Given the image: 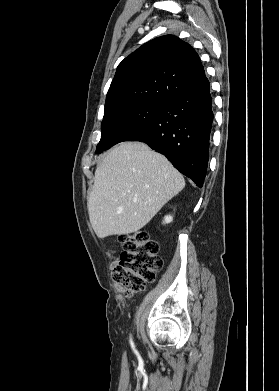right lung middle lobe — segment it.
<instances>
[{
    "label": "right lung middle lobe",
    "instance_id": "obj_1",
    "mask_svg": "<svg viewBox=\"0 0 279 391\" xmlns=\"http://www.w3.org/2000/svg\"><path fill=\"white\" fill-rule=\"evenodd\" d=\"M162 106L163 103L141 102L105 112L96 153L124 141L134 131L150 123Z\"/></svg>",
    "mask_w": 279,
    "mask_h": 391
}]
</instances>
